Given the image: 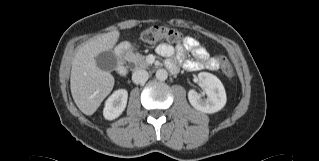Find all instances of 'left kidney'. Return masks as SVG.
I'll use <instances>...</instances> for the list:
<instances>
[{
  "label": "left kidney",
  "instance_id": "obj_1",
  "mask_svg": "<svg viewBox=\"0 0 319 161\" xmlns=\"http://www.w3.org/2000/svg\"><path fill=\"white\" fill-rule=\"evenodd\" d=\"M198 81L207 97L202 98L195 90H190L188 93L190 104L196 110L204 113H215L221 110L227 100L221 81L215 75L207 72L199 73Z\"/></svg>",
  "mask_w": 319,
  "mask_h": 161
}]
</instances>
